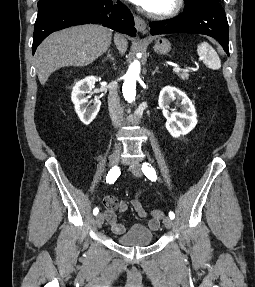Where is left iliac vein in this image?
<instances>
[{
  "instance_id": "left-iliac-vein-1",
  "label": "left iliac vein",
  "mask_w": 255,
  "mask_h": 287,
  "mask_svg": "<svg viewBox=\"0 0 255 287\" xmlns=\"http://www.w3.org/2000/svg\"><path fill=\"white\" fill-rule=\"evenodd\" d=\"M131 171L132 173L135 175V176H138V177H141L142 176V171H141V167L139 164H134L132 167H131ZM163 223H164V226L167 228V229H170L173 225V222H172V219L169 218V217H165L164 220H163Z\"/></svg>"
}]
</instances>
